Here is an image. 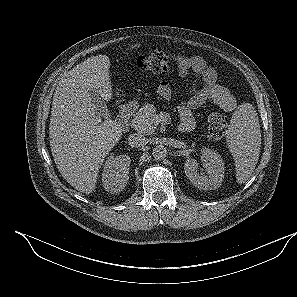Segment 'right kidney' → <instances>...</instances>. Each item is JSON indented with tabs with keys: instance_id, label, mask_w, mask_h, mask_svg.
<instances>
[{
	"instance_id": "obj_1",
	"label": "right kidney",
	"mask_w": 297,
	"mask_h": 297,
	"mask_svg": "<svg viewBox=\"0 0 297 297\" xmlns=\"http://www.w3.org/2000/svg\"><path fill=\"white\" fill-rule=\"evenodd\" d=\"M131 160L128 155H110L103 168L102 185L110 193L122 191L129 179Z\"/></svg>"
}]
</instances>
